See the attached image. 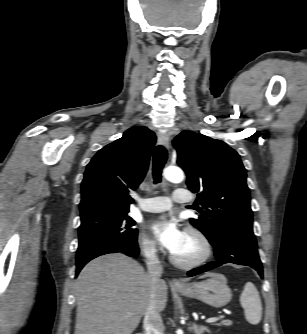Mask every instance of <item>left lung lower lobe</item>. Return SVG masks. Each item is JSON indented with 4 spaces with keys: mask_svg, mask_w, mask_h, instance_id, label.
I'll use <instances>...</instances> for the list:
<instances>
[{
    "mask_svg": "<svg viewBox=\"0 0 307 334\" xmlns=\"http://www.w3.org/2000/svg\"><path fill=\"white\" fill-rule=\"evenodd\" d=\"M216 261L195 268L188 276H195L225 263L248 265L258 271L263 278L262 264L257 252V242L252 227L226 225L221 227L219 237L213 242Z\"/></svg>",
    "mask_w": 307,
    "mask_h": 334,
    "instance_id": "obj_1",
    "label": "left lung lower lobe"
}]
</instances>
